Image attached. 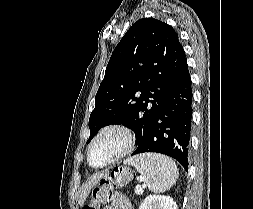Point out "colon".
Returning <instances> with one entry per match:
<instances>
[{
	"label": "colon",
	"mask_w": 253,
	"mask_h": 209,
	"mask_svg": "<svg viewBox=\"0 0 253 209\" xmlns=\"http://www.w3.org/2000/svg\"><path fill=\"white\" fill-rule=\"evenodd\" d=\"M131 178L132 176L130 172L123 169L116 170L111 176L104 179L99 186L93 189L92 202L85 205L83 209H98V206L108 189L115 185H125L131 180Z\"/></svg>",
	"instance_id": "5ec220e1"
}]
</instances>
